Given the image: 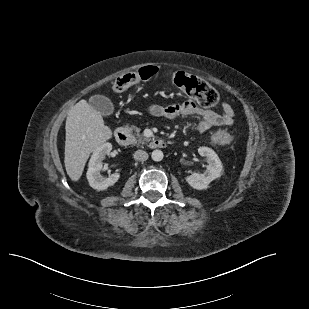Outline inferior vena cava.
Masks as SVG:
<instances>
[{
  "label": "inferior vena cava",
  "instance_id": "602c4592",
  "mask_svg": "<svg viewBox=\"0 0 309 309\" xmlns=\"http://www.w3.org/2000/svg\"><path fill=\"white\" fill-rule=\"evenodd\" d=\"M134 159L136 161H146L148 159V153L144 150H137L134 153Z\"/></svg>",
  "mask_w": 309,
  "mask_h": 309
}]
</instances>
